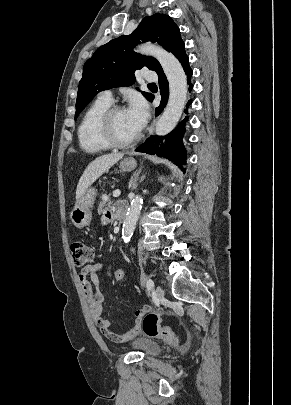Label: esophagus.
I'll use <instances>...</instances> for the list:
<instances>
[{"instance_id":"esophagus-1","label":"esophagus","mask_w":291,"mask_h":405,"mask_svg":"<svg viewBox=\"0 0 291 405\" xmlns=\"http://www.w3.org/2000/svg\"><path fill=\"white\" fill-rule=\"evenodd\" d=\"M156 119L153 120L150 128H149V134H152L153 130H154V125H155Z\"/></svg>"}]
</instances>
